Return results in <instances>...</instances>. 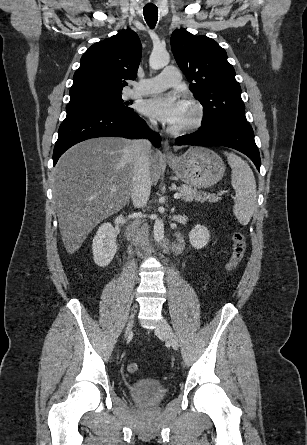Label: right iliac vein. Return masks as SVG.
<instances>
[{"label":"right iliac vein","mask_w":307,"mask_h":445,"mask_svg":"<svg viewBox=\"0 0 307 445\" xmlns=\"http://www.w3.org/2000/svg\"><path fill=\"white\" fill-rule=\"evenodd\" d=\"M133 322H134V313L131 314L129 322L127 324L126 330H125V334H128L131 332L132 327H133Z\"/></svg>","instance_id":"1"}]
</instances>
